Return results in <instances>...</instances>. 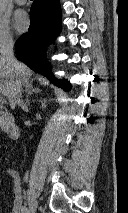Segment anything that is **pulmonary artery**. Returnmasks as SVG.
I'll return each mask as SVG.
<instances>
[{
  "mask_svg": "<svg viewBox=\"0 0 128 213\" xmlns=\"http://www.w3.org/2000/svg\"><path fill=\"white\" fill-rule=\"evenodd\" d=\"M18 5H24L27 0H14Z\"/></svg>",
  "mask_w": 128,
  "mask_h": 213,
  "instance_id": "e3ab8cb5",
  "label": "pulmonary artery"
}]
</instances>
